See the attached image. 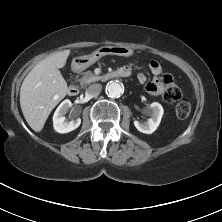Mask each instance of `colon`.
I'll use <instances>...</instances> for the list:
<instances>
[{"label":"colon","instance_id":"colon-1","mask_svg":"<svg viewBox=\"0 0 222 222\" xmlns=\"http://www.w3.org/2000/svg\"><path fill=\"white\" fill-rule=\"evenodd\" d=\"M161 82L164 86V99L169 103H175V112L178 118H187L191 111L190 103L186 98H184L180 88L175 83L172 75H163L161 78Z\"/></svg>","mask_w":222,"mask_h":222}]
</instances>
